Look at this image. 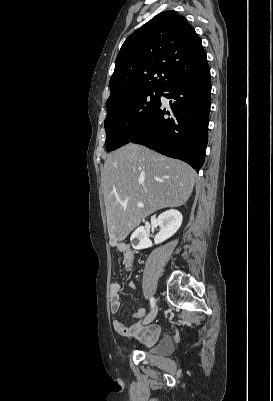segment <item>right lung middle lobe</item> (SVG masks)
<instances>
[{
    "mask_svg": "<svg viewBox=\"0 0 273 401\" xmlns=\"http://www.w3.org/2000/svg\"><path fill=\"white\" fill-rule=\"evenodd\" d=\"M161 95L162 90H146L107 106L104 123L107 151L130 142L159 107Z\"/></svg>",
    "mask_w": 273,
    "mask_h": 401,
    "instance_id": "1",
    "label": "right lung middle lobe"
}]
</instances>
